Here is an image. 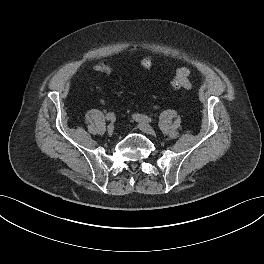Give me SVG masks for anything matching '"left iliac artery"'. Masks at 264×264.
Returning <instances> with one entry per match:
<instances>
[{"instance_id": "left-iliac-artery-1", "label": "left iliac artery", "mask_w": 264, "mask_h": 264, "mask_svg": "<svg viewBox=\"0 0 264 264\" xmlns=\"http://www.w3.org/2000/svg\"><path fill=\"white\" fill-rule=\"evenodd\" d=\"M133 118L137 121H142V122H152L153 121L152 118H150L146 115H143V114H138V113L134 114Z\"/></svg>"}]
</instances>
